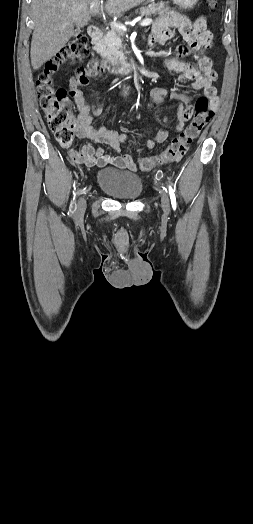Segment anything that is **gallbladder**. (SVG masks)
<instances>
[{
	"mask_svg": "<svg viewBox=\"0 0 253 524\" xmlns=\"http://www.w3.org/2000/svg\"><path fill=\"white\" fill-rule=\"evenodd\" d=\"M80 32V28L75 30V35Z\"/></svg>",
	"mask_w": 253,
	"mask_h": 524,
	"instance_id": "1",
	"label": "gallbladder"
}]
</instances>
